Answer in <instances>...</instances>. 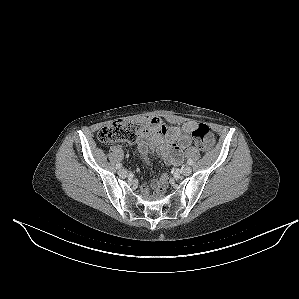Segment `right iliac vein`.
<instances>
[{
	"label": "right iliac vein",
	"instance_id": "1",
	"mask_svg": "<svg viewBox=\"0 0 299 299\" xmlns=\"http://www.w3.org/2000/svg\"><path fill=\"white\" fill-rule=\"evenodd\" d=\"M118 174L120 177L125 178L127 176V171L125 169H120Z\"/></svg>",
	"mask_w": 299,
	"mask_h": 299
}]
</instances>
